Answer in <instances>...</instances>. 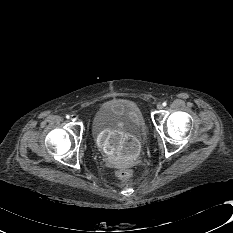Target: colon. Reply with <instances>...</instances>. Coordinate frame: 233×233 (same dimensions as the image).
<instances>
[{
	"label": "colon",
	"instance_id": "colon-1",
	"mask_svg": "<svg viewBox=\"0 0 233 233\" xmlns=\"http://www.w3.org/2000/svg\"><path fill=\"white\" fill-rule=\"evenodd\" d=\"M116 175L120 180L127 181L131 179L132 172L128 169H120L117 171Z\"/></svg>",
	"mask_w": 233,
	"mask_h": 233
}]
</instances>
